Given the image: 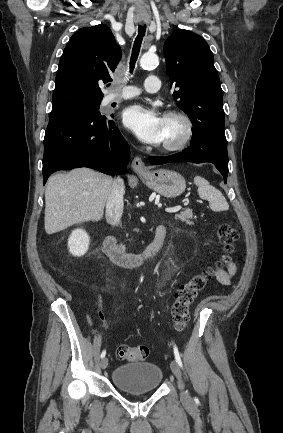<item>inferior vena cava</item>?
<instances>
[{
	"mask_svg": "<svg viewBox=\"0 0 283 433\" xmlns=\"http://www.w3.org/2000/svg\"><path fill=\"white\" fill-rule=\"evenodd\" d=\"M123 192V178H115L106 202V219L112 225L120 223L123 212Z\"/></svg>",
	"mask_w": 283,
	"mask_h": 433,
	"instance_id": "602c4592",
	"label": "inferior vena cava"
}]
</instances>
